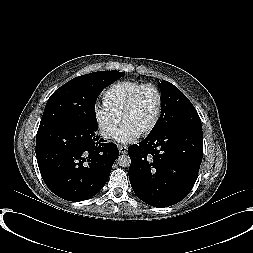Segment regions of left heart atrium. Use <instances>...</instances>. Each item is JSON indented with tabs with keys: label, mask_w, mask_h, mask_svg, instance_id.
Here are the masks:
<instances>
[{
	"label": "left heart atrium",
	"mask_w": 253,
	"mask_h": 253,
	"mask_svg": "<svg viewBox=\"0 0 253 253\" xmlns=\"http://www.w3.org/2000/svg\"><path fill=\"white\" fill-rule=\"evenodd\" d=\"M139 132L133 129L126 123H122L121 126L117 129L114 139L120 143H130L137 139Z\"/></svg>",
	"instance_id": "obj_1"
}]
</instances>
